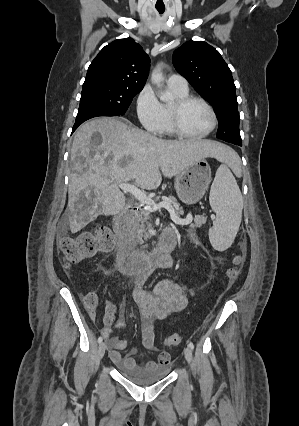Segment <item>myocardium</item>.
Here are the masks:
<instances>
[{
  "label": "myocardium",
  "instance_id": "myocardium-1",
  "mask_svg": "<svg viewBox=\"0 0 299 426\" xmlns=\"http://www.w3.org/2000/svg\"><path fill=\"white\" fill-rule=\"evenodd\" d=\"M192 102H199L203 104L208 109L211 115V119H212L211 126L204 133L192 134L187 132L182 126V123H181L182 112L184 108ZM170 115H171V124H172L174 133H176L180 137L187 138V139H201V138H205L209 136L215 130L218 123L217 115L213 106L204 98L199 96H194V95H186V96L177 98L174 101V103L171 105Z\"/></svg>",
  "mask_w": 299,
  "mask_h": 426
}]
</instances>
